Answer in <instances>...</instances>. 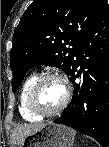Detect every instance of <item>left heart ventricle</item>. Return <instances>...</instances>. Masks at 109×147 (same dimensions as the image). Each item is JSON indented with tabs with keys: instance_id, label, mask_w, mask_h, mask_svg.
<instances>
[{
	"instance_id": "left-heart-ventricle-1",
	"label": "left heart ventricle",
	"mask_w": 109,
	"mask_h": 147,
	"mask_svg": "<svg viewBox=\"0 0 109 147\" xmlns=\"http://www.w3.org/2000/svg\"><path fill=\"white\" fill-rule=\"evenodd\" d=\"M65 96V87L57 79H50L43 83L37 97L36 105L44 111L57 108Z\"/></svg>"
}]
</instances>
